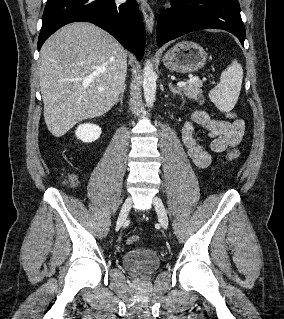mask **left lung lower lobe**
I'll return each instance as SVG.
<instances>
[{
	"label": "left lung lower lobe",
	"mask_w": 284,
	"mask_h": 319,
	"mask_svg": "<svg viewBox=\"0 0 284 319\" xmlns=\"http://www.w3.org/2000/svg\"><path fill=\"white\" fill-rule=\"evenodd\" d=\"M223 29L244 46L245 27L238 0H172L158 18L157 45L201 29Z\"/></svg>",
	"instance_id": "left-lung-lower-lobe-1"
}]
</instances>
